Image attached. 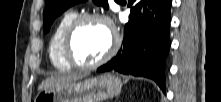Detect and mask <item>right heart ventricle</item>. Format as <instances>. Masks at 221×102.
<instances>
[{
  "instance_id": "right-heart-ventricle-1",
  "label": "right heart ventricle",
  "mask_w": 221,
  "mask_h": 102,
  "mask_svg": "<svg viewBox=\"0 0 221 102\" xmlns=\"http://www.w3.org/2000/svg\"><path fill=\"white\" fill-rule=\"evenodd\" d=\"M74 10L65 11L56 23L48 42V53L52 65L59 71H69L72 67L62 55V41L70 22L77 16Z\"/></svg>"
}]
</instances>
